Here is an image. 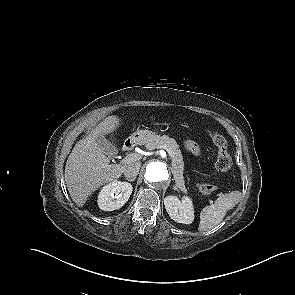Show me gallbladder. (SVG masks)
Wrapping results in <instances>:
<instances>
[{
    "label": "gallbladder",
    "mask_w": 295,
    "mask_h": 295,
    "mask_svg": "<svg viewBox=\"0 0 295 295\" xmlns=\"http://www.w3.org/2000/svg\"><path fill=\"white\" fill-rule=\"evenodd\" d=\"M97 143L101 149L109 156L114 157L117 153L115 147L108 142L104 137H98Z\"/></svg>",
    "instance_id": "gallbladder-1"
}]
</instances>
